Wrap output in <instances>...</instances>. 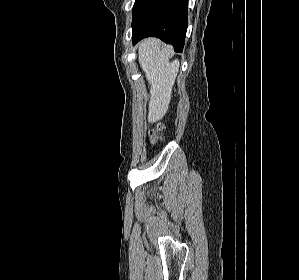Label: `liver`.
I'll list each match as a JSON object with an SVG mask.
<instances>
[{"label": "liver", "instance_id": "1", "mask_svg": "<svg viewBox=\"0 0 299 280\" xmlns=\"http://www.w3.org/2000/svg\"><path fill=\"white\" fill-rule=\"evenodd\" d=\"M172 47L156 38L143 40L138 47V59L150 87L149 123H154L167 113L172 88L179 71V61L169 62Z\"/></svg>", "mask_w": 299, "mask_h": 280}]
</instances>
